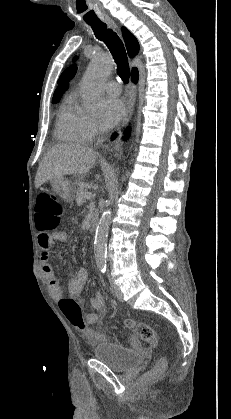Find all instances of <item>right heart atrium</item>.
Returning <instances> with one entry per match:
<instances>
[{
  "label": "right heart atrium",
  "instance_id": "obj_1",
  "mask_svg": "<svg viewBox=\"0 0 231 419\" xmlns=\"http://www.w3.org/2000/svg\"><path fill=\"white\" fill-rule=\"evenodd\" d=\"M103 129L99 124L98 120L95 118H88L87 125H86V134L89 139L101 134Z\"/></svg>",
  "mask_w": 231,
  "mask_h": 419
}]
</instances>
